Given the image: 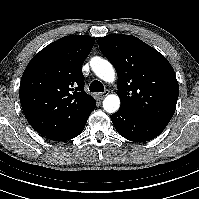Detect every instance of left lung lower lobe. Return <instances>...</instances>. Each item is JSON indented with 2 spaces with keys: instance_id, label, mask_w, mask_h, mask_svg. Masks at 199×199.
<instances>
[{
  "instance_id": "1",
  "label": "left lung lower lobe",
  "mask_w": 199,
  "mask_h": 199,
  "mask_svg": "<svg viewBox=\"0 0 199 199\" xmlns=\"http://www.w3.org/2000/svg\"><path fill=\"white\" fill-rule=\"evenodd\" d=\"M115 129L124 138L134 142H145L157 137L166 126L138 117L128 109H120L112 114Z\"/></svg>"
}]
</instances>
